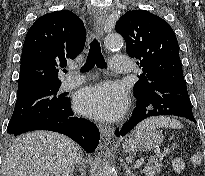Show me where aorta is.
<instances>
[{
    "label": "aorta",
    "mask_w": 205,
    "mask_h": 176,
    "mask_svg": "<svg viewBox=\"0 0 205 176\" xmlns=\"http://www.w3.org/2000/svg\"><path fill=\"white\" fill-rule=\"evenodd\" d=\"M123 42L122 36L116 33L108 34L104 41L106 48L110 50L121 48L123 46ZM102 176H115L114 170L107 163L103 169Z\"/></svg>",
    "instance_id": "aorta-1"
}]
</instances>
